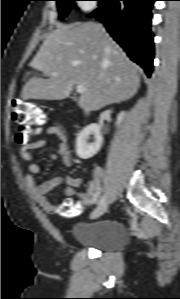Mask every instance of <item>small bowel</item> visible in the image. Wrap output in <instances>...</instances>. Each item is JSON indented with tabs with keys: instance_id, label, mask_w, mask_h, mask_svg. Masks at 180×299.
<instances>
[{
	"instance_id": "1",
	"label": "small bowel",
	"mask_w": 180,
	"mask_h": 299,
	"mask_svg": "<svg viewBox=\"0 0 180 299\" xmlns=\"http://www.w3.org/2000/svg\"><path fill=\"white\" fill-rule=\"evenodd\" d=\"M44 133L46 136L55 135L59 138L58 150L54 153H51L50 158L54 160L59 159L66 167L71 166L72 156L69 149V138L65 128L58 123H52L45 128ZM45 145V138L34 140L29 143L26 148L20 150V157L26 161H32L33 156L28 152V150L41 149ZM28 171V174L25 176V182L33 198L46 212H56L57 207L47 199V194H49L62 183V177L59 175H54L43 183L37 184L34 175L39 173V165L35 162H31L28 166ZM101 173V168H95L88 188L78 194V198L81 200L83 205H88L97 199ZM66 183L67 186L63 189L62 193L65 197L71 198L76 194L75 189L80 186L81 180L78 177L67 176Z\"/></svg>"
}]
</instances>
